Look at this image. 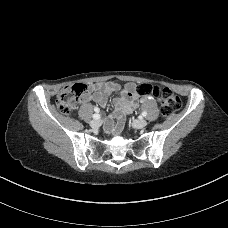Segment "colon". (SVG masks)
<instances>
[{"mask_svg": "<svg viewBox=\"0 0 228 228\" xmlns=\"http://www.w3.org/2000/svg\"><path fill=\"white\" fill-rule=\"evenodd\" d=\"M88 86L84 83H75L64 87L57 95L56 104L59 111L69 114L76 106L78 100L87 92ZM136 92L140 96H148L152 93L158 95L160 110L163 116H171L181 108L180 99L169 89H158L147 83L139 84Z\"/></svg>", "mask_w": 228, "mask_h": 228, "instance_id": "obj_1", "label": "colon"}]
</instances>
